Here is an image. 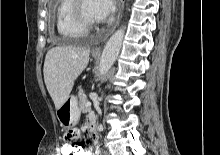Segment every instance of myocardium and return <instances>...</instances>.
<instances>
[{
	"label": "myocardium",
	"mask_w": 220,
	"mask_h": 155,
	"mask_svg": "<svg viewBox=\"0 0 220 155\" xmlns=\"http://www.w3.org/2000/svg\"><path fill=\"white\" fill-rule=\"evenodd\" d=\"M71 13L73 20L86 30L96 26L97 24L95 20L90 19L85 15L82 7V0H74Z\"/></svg>",
	"instance_id": "f54148a6"
}]
</instances>
